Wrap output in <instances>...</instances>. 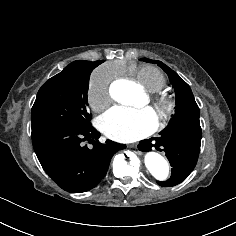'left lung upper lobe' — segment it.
<instances>
[{
  "label": "left lung upper lobe",
  "mask_w": 236,
  "mask_h": 236,
  "mask_svg": "<svg viewBox=\"0 0 236 236\" xmlns=\"http://www.w3.org/2000/svg\"><path fill=\"white\" fill-rule=\"evenodd\" d=\"M140 60L156 63L160 66L167 73L175 89L176 110L167 127L180 126L201 129L199 121L200 111L189 85L164 63L147 58H141Z\"/></svg>",
  "instance_id": "5c2ea615"
}]
</instances>
